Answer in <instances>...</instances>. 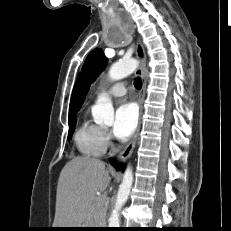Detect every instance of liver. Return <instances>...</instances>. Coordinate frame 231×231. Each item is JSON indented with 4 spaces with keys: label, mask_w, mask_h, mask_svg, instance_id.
Returning <instances> with one entry per match:
<instances>
[{
    "label": "liver",
    "mask_w": 231,
    "mask_h": 231,
    "mask_svg": "<svg viewBox=\"0 0 231 231\" xmlns=\"http://www.w3.org/2000/svg\"><path fill=\"white\" fill-rule=\"evenodd\" d=\"M109 183L103 161L82 156L67 162L58 180L53 228H81L89 223L96 193L105 192Z\"/></svg>",
    "instance_id": "1"
}]
</instances>
